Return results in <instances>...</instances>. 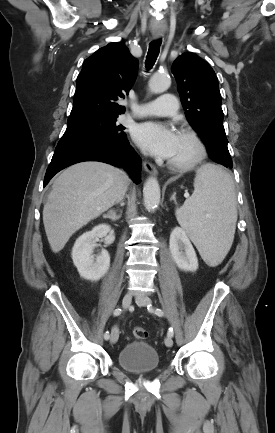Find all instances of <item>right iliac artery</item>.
Segmentation results:
<instances>
[{"mask_svg":"<svg viewBox=\"0 0 275 433\" xmlns=\"http://www.w3.org/2000/svg\"><path fill=\"white\" fill-rule=\"evenodd\" d=\"M120 313H121V309H119V308L115 309L113 312L114 316H118V315H120ZM109 338H110V335H109V332L107 331L104 334V339L108 340Z\"/></svg>","mask_w":275,"mask_h":433,"instance_id":"82829eb1","label":"right iliac artery"}]
</instances>
